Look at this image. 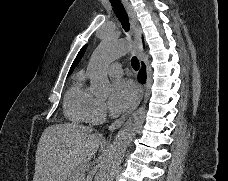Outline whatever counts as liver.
I'll use <instances>...</instances> for the list:
<instances>
[{
    "instance_id": "1",
    "label": "liver",
    "mask_w": 228,
    "mask_h": 181,
    "mask_svg": "<svg viewBox=\"0 0 228 181\" xmlns=\"http://www.w3.org/2000/svg\"><path fill=\"white\" fill-rule=\"evenodd\" d=\"M82 125H51L42 133L35 159L33 181H67L78 165L88 163L103 137Z\"/></svg>"
}]
</instances>
